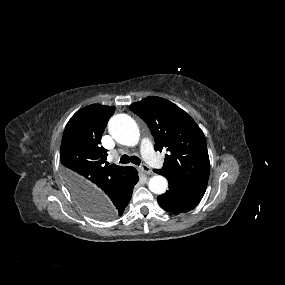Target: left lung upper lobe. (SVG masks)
I'll return each instance as SVG.
<instances>
[{"instance_id":"left-lung-upper-lobe-1","label":"left lung upper lobe","mask_w":285,"mask_h":285,"mask_svg":"<svg viewBox=\"0 0 285 285\" xmlns=\"http://www.w3.org/2000/svg\"><path fill=\"white\" fill-rule=\"evenodd\" d=\"M149 126L155 150L166 149L160 171L185 182L207 186L210 162L203 132L193 119L169 101L147 97L130 105Z\"/></svg>"}]
</instances>
